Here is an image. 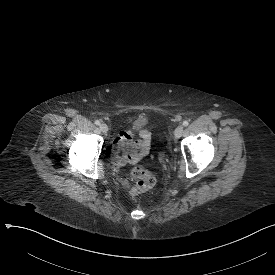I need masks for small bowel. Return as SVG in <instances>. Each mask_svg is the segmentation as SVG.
<instances>
[{
    "mask_svg": "<svg viewBox=\"0 0 275 275\" xmlns=\"http://www.w3.org/2000/svg\"><path fill=\"white\" fill-rule=\"evenodd\" d=\"M142 139L140 141L133 140L131 136L121 133L115 140L113 144V152L115 155V165L118 167L124 166L128 163H136L142 157L147 155L150 142L153 138L151 132L146 131L143 133ZM147 151L144 152L143 150Z\"/></svg>",
    "mask_w": 275,
    "mask_h": 275,
    "instance_id": "small-bowel-1",
    "label": "small bowel"
}]
</instances>
